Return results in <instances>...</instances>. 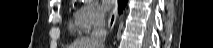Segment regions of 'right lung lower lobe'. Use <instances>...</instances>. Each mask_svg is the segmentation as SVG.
<instances>
[{
  "label": "right lung lower lobe",
  "mask_w": 213,
  "mask_h": 48,
  "mask_svg": "<svg viewBox=\"0 0 213 48\" xmlns=\"http://www.w3.org/2000/svg\"><path fill=\"white\" fill-rule=\"evenodd\" d=\"M127 0H119L118 5H119V12L123 11V7L125 6Z\"/></svg>",
  "instance_id": "1"
}]
</instances>
